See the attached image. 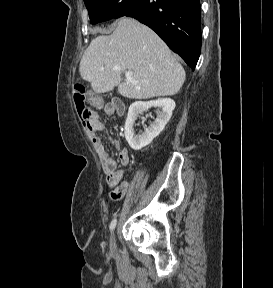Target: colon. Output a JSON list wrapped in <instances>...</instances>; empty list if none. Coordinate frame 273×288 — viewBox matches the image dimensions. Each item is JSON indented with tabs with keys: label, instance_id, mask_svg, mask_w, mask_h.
<instances>
[{
	"label": "colon",
	"instance_id": "5ec220e1",
	"mask_svg": "<svg viewBox=\"0 0 273 288\" xmlns=\"http://www.w3.org/2000/svg\"><path fill=\"white\" fill-rule=\"evenodd\" d=\"M73 99L83 125L87 129H89L96 116L95 113L91 110V108H89L87 105L85 89L82 86L77 85L74 87ZM91 102L94 106L98 108L102 106L101 99L97 97L92 98Z\"/></svg>",
	"mask_w": 273,
	"mask_h": 288
}]
</instances>
